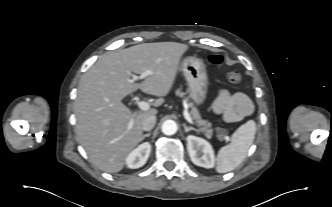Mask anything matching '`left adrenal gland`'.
<instances>
[{
  "instance_id": "obj_1",
  "label": "left adrenal gland",
  "mask_w": 332,
  "mask_h": 207,
  "mask_svg": "<svg viewBox=\"0 0 332 207\" xmlns=\"http://www.w3.org/2000/svg\"><path fill=\"white\" fill-rule=\"evenodd\" d=\"M183 127H184V131L185 132H189L191 130H194V131L198 132V130L196 128H194V127H188L185 123L183 124Z\"/></svg>"
}]
</instances>
